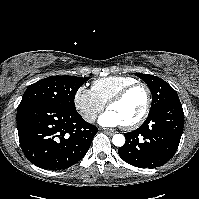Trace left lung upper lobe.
Segmentation results:
<instances>
[{"mask_svg": "<svg viewBox=\"0 0 199 199\" xmlns=\"http://www.w3.org/2000/svg\"><path fill=\"white\" fill-rule=\"evenodd\" d=\"M135 75L145 81L152 93L150 112H153L168 103L180 101L177 92L161 78L142 73H135Z\"/></svg>", "mask_w": 199, "mask_h": 199, "instance_id": "obj_1", "label": "left lung upper lobe"}]
</instances>
